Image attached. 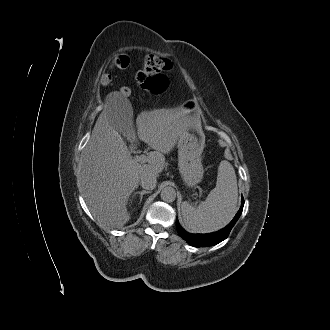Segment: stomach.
I'll return each mask as SVG.
<instances>
[{
  "label": "stomach",
  "mask_w": 330,
  "mask_h": 330,
  "mask_svg": "<svg viewBox=\"0 0 330 330\" xmlns=\"http://www.w3.org/2000/svg\"><path fill=\"white\" fill-rule=\"evenodd\" d=\"M179 108L190 113L197 108L194 99L181 103ZM203 146L194 135H187L178 141V166L181 178L187 187H194L202 181L204 168L202 165Z\"/></svg>",
  "instance_id": "0dacf381"
}]
</instances>
